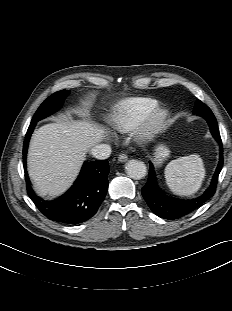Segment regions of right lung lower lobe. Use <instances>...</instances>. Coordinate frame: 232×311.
<instances>
[{
  "label": "right lung lower lobe",
  "instance_id": "right-lung-lower-lobe-1",
  "mask_svg": "<svg viewBox=\"0 0 232 311\" xmlns=\"http://www.w3.org/2000/svg\"><path fill=\"white\" fill-rule=\"evenodd\" d=\"M35 125L36 123L31 122L23 146L24 172L29 197L50 220L76 225L90 219L97 212L108 189V161L85 162L74 185L64 195L53 201H45L34 193L26 171L27 149Z\"/></svg>",
  "mask_w": 232,
  "mask_h": 311
}]
</instances>
